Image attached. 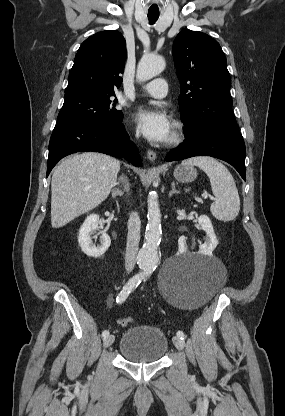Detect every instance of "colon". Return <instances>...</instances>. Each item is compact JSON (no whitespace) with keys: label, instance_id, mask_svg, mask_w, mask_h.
I'll return each mask as SVG.
<instances>
[{"label":"colon","instance_id":"obj_1","mask_svg":"<svg viewBox=\"0 0 285 416\" xmlns=\"http://www.w3.org/2000/svg\"><path fill=\"white\" fill-rule=\"evenodd\" d=\"M133 319L131 317H122L119 319V324L123 327H127L132 324Z\"/></svg>","mask_w":285,"mask_h":416}]
</instances>
